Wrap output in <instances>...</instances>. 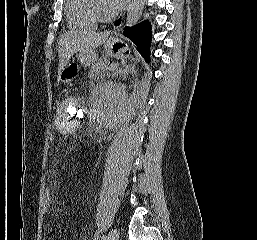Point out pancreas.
Returning <instances> with one entry per match:
<instances>
[{
	"instance_id": "1",
	"label": "pancreas",
	"mask_w": 257,
	"mask_h": 240,
	"mask_svg": "<svg viewBox=\"0 0 257 240\" xmlns=\"http://www.w3.org/2000/svg\"><path fill=\"white\" fill-rule=\"evenodd\" d=\"M110 66L109 62L106 59H99L96 61L90 71H89V78L94 79V78H101L105 77L106 75L109 74Z\"/></svg>"
}]
</instances>
